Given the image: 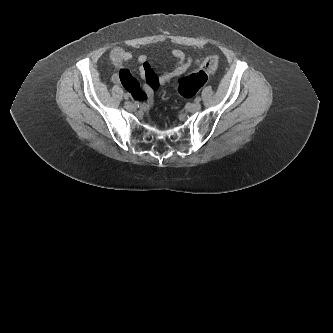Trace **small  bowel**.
<instances>
[{"instance_id": "obj_1", "label": "small bowel", "mask_w": 333, "mask_h": 333, "mask_svg": "<svg viewBox=\"0 0 333 333\" xmlns=\"http://www.w3.org/2000/svg\"><path fill=\"white\" fill-rule=\"evenodd\" d=\"M170 55L176 60L175 67L170 71L157 74L150 64L146 55L137 58L138 72L144 81L143 89L140 83L132 76L125 64L132 59V54L120 47H114L110 51V59L116 68L112 80L114 83H122L129 94L141 101L145 106L152 103L155 92L166 84L171 83L175 78L183 76L188 71L193 60L180 49H172Z\"/></svg>"}]
</instances>
